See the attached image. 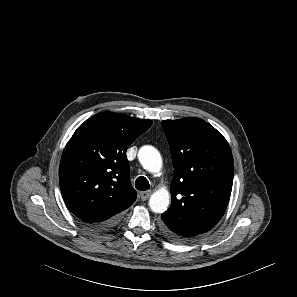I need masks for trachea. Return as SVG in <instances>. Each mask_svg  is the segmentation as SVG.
<instances>
[{"label":"trachea","mask_w":297,"mask_h":297,"mask_svg":"<svg viewBox=\"0 0 297 297\" xmlns=\"http://www.w3.org/2000/svg\"><path fill=\"white\" fill-rule=\"evenodd\" d=\"M135 188L140 191H146L150 188L149 181L145 177L140 176L135 181Z\"/></svg>","instance_id":"obj_1"}]
</instances>
